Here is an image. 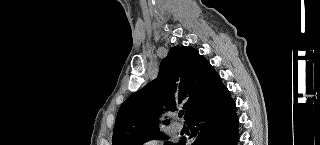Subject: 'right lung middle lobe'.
<instances>
[{
    "mask_svg": "<svg viewBox=\"0 0 320 145\" xmlns=\"http://www.w3.org/2000/svg\"><path fill=\"white\" fill-rule=\"evenodd\" d=\"M158 138H162V139H168V137H166L164 134H162L161 132L158 131H154L152 133H149L141 138H139L138 140H136L134 143H132V145H142L143 143L151 140V139H158ZM166 145H176L172 142H166Z\"/></svg>",
    "mask_w": 320,
    "mask_h": 145,
    "instance_id": "right-lung-middle-lobe-1",
    "label": "right lung middle lobe"
}]
</instances>
